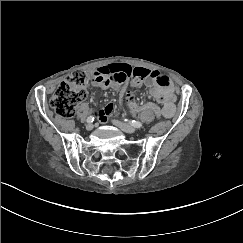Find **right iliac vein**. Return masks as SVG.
I'll use <instances>...</instances> for the list:
<instances>
[{
  "label": "right iliac vein",
  "mask_w": 243,
  "mask_h": 243,
  "mask_svg": "<svg viewBox=\"0 0 243 243\" xmlns=\"http://www.w3.org/2000/svg\"><path fill=\"white\" fill-rule=\"evenodd\" d=\"M93 127H94V125H93L92 123H88V124L86 125V129H87L88 131L92 130Z\"/></svg>",
  "instance_id": "right-iliac-vein-1"
}]
</instances>
